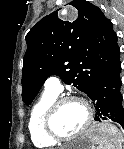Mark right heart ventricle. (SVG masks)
Listing matches in <instances>:
<instances>
[{"label":"right heart ventricle","mask_w":124,"mask_h":149,"mask_svg":"<svg viewBox=\"0 0 124 149\" xmlns=\"http://www.w3.org/2000/svg\"><path fill=\"white\" fill-rule=\"evenodd\" d=\"M57 98L58 94L45 91L31 109L28 130L31 140L36 147L50 148L57 144V141L50 138L44 130L46 111Z\"/></svg>","instance_id":"obj_1"}]
</instances>
